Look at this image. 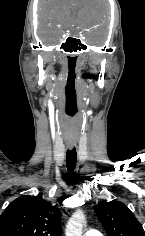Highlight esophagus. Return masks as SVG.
<instances>
[{
    "instance_id": "esophagus-1",
    "label": "esophagus",
    "mask_w": 145,
    "mask_h": 236,
    "mask_svg": "<svg viewBox=\"0 0 145 236\" xmlns=\"http://www.w3.org/2000/svg\"><path fill=\"white\" fill-rule=\"evenodd\" d=\"M68 147L72 149L74 147V143H68Z\"/></svg>"
}]
</instances>
